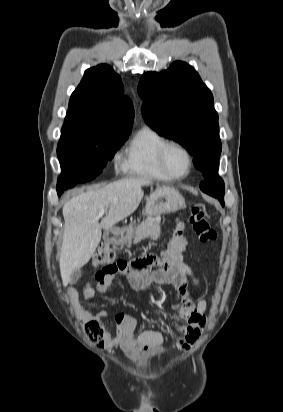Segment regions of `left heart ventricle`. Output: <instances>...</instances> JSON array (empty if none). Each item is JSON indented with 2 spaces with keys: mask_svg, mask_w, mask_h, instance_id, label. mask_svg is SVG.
Wrapping results in <instances>:
<instances>
[{
  "mask_svg": "<svg viewBox=\"0 0 283 412\" xmlns=\"http://www.w3.org/2000/svg\"><path fill=\"white\" fill-rule=\"evenodd\" d=\"M166 163L169 170L175 174H183L188 168L187 156L178 148H173L168 152Z\"/></svg>",
  "mask_w": 283,
  "mask_h": 412,
  "instance_id": "1",
  "label": "left heart ventricle"
}]
</instances>
